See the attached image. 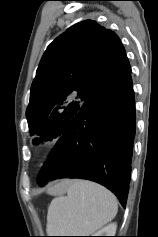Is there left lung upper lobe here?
<instances>
[{
	"instance_id": "1",
	"label": "left lung upper lobe",
	"mask_w": 158,
	"mask_h": 237,
	"mask_svg": "<svg viewBox=\"0 0 158 237\" xmlns=\"http://www.w3.org/2000/svg\"><path fill=\"white\" fill-rule=\"evenodd\" d=\"M130 72L113 31L93 20L71 26L48 46L31 86L26 117L33 144L60 138L93 96Z\"/></svg>"
}]
</instances>
